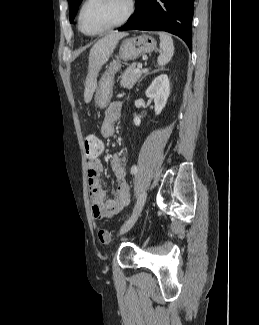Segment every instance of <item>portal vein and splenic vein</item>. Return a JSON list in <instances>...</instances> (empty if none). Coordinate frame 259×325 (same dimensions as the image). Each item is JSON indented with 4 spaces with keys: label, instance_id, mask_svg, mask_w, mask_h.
<instances>
[{
    "label": "portal vein and splenic vein",
    "instance_id": "1",
    "mask_svg": "<svg viewBox=\"0 0 259 325\" xmlns=\"http://www.w3.org/2000/svg\"><path fill=\"white\" fill-rule=\"evenodd\" d=\"M140 72H141L140 67H137V68L135 69V73H140Z\"/></svg>",
    "mask_w": 259,
    "mask_h": 325
}]
</instances>
